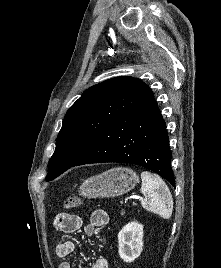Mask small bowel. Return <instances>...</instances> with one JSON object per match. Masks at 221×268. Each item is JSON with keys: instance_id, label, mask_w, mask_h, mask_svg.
I'll return each instance as SVG.
<instances>
[{"instance_id": "obj_1", "label": "small bowel", "mask_w": 221, "mask_h": 268, "mask_svg": "<svg viewBox=\"0 0 221 268\" xmlns=\"http://www.w3.org/2000/svg\"><path fill=\"white\" fill-rule=\"evenodd\" d=\"M108 220V214L104 210H95L91 214L88 224L85 226L86 232L89 235H93L97 229L105 226ZM54 225L60 231L72 233L83 226V220L77 215L61 213L56 216ZM101 242L104 243L105 239L101 238ZM74 248L75 245L72 241L59 242L55 247V253L59 258H65L74 251ZM59 268H71V265L65 261L60 264ZM87 268H109V264L106 259L98 258Z\"/></svg>"}]
</instances>
